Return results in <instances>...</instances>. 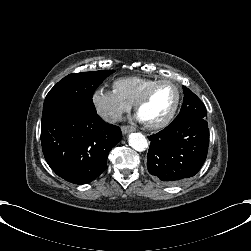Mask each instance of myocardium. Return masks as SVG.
<instances>
[{
    "label": "myocardium",
    "mask_w": 251,
    "mask_h": 251,
    "mask_svg": "<svg viewBox=\"0 0 251 251\" xmlns=\"http://www.w3.org/2000/svg\"><path fill=\"white\" fill-rule=\"evenodd\" d=\"M164 82H173L178 89V99L177 102L174 106V108L172 109V111L168 114V116L157 123H147L145 121H142L143 126L146 129L149 130H157V129H162L167 127L175 118L176 114L178 113V111L181 108V105L183 103V99H184V86L182 83L171 79V78H161V79H157L155 80L153 83H151L143 92V94L139 97V99L137 100V102L134 105L135 108V112L137 113V115L139 116V111L140 109L146 104V102L148 101V99L150 98L151 94L153 93V91L161 84Z\"/></svg>",
    "instance_id": "1"
}]
</instances>
